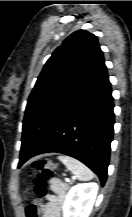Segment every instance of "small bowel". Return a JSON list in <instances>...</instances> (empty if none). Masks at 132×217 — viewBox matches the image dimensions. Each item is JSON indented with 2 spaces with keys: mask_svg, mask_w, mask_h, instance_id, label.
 Instances as JSON below:
<instances>
[{
  "mask_svg": "<svg viewBox=\"0 0 132 217\" xmlns=\"http://www.w3.org/2000/svg\"><path fill=\"white\" fill-rule=\"evenodd\" d=\"M51 190L52 194L47 197L48 203L46 205L41 206L37 202L33 205L40 207V210H42V217H61V210L68 186L59 179H53L51 181Z\"/></svg>",
  "mask_w": 132,
  "mask_h": 217,
  "instance_id": "obj_1",
  "label": "small bowel"
}]
</instances>
